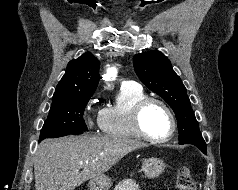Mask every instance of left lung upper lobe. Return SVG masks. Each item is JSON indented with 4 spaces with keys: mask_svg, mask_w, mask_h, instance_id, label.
Listing matches in <instances>:
<instances>
[{
    "mask_svg": "<svg viewBox=\"0 0 238 190\" xmlns=\"http://www.w3.org/2000/svg\"><path fill=\"white\" fill-rule=\"evenodd\" d=\"M134 69L147 88L161 96L175 112L179 128V144H192L207 152L191 108L186 88L172 69L169 59L159 51L136 54Z\"/></svg>",
    "mask_w": 238,
    "mask_h": 190,
    "instance_id": "obj_1",
    "label": "left lung upper lobe"
}]
</instances>
